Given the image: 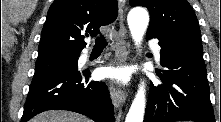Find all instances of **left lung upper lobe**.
<instances>
[{
	"instance_id": "obj_1",
	"label": "left lung upper lobe",
	"mask_w": 221,
	"mask_h": 122,
	"mask_svg": "<svg viewBox=\"0 0 221 122\" xmlns=\"http://www.w3.org/2000/svg\"><path fill=\"white\" fill-rule=\"evenodd\" d=\"M130 5L148 8V31L155 33L164 42L203 51L198 21L186 0H130Z\"/></svg>"
}]
</instances>
